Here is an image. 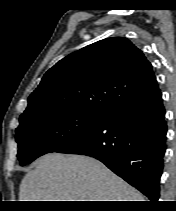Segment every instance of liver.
<instances>
[{"mask_svg":"<svg viewBox=\"0 0 176 211\" xmlns=\"http://www.w3.org/2000/svg\"><path fill=\"white\" fill-rule=\"evenodd\" d=\"M19 201H144L143 196L100 161L49 153L21 181Z\"/></svg>","mask_w":176,"mask_h":211,"instance_id":"liver-1","label":"liver"}]
</instances>
